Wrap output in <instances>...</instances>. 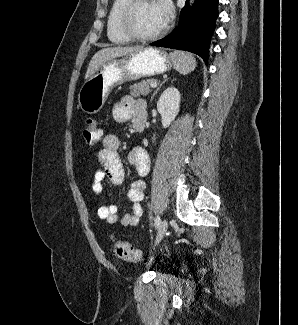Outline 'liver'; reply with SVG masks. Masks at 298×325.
Returning a JSON list of instances; mask_svg holds the SVG:
<instances>
[{
  "label": "liver",
  "mask_w": 298,
  "mask_h": 325,
  "mask_svg": "<svg viewBox=\"0 0 298 325\" xmlns=\"http://www.w3.org/2000/svg\"><path fill=\"white\" fill-rule=\"evenodd\" d=\"M144 46H110V48H100L97 50L93 56H91L88 66L85 70L84 78L87 80L91 74H94L98 70L102 62L106 60H111V58H119L123 54H129V52H137V50H142Z\"/></svg>",
  "instance_id": "1"
}]
</instances>
